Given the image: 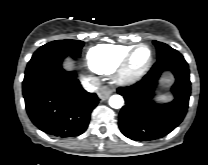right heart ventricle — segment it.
Listing matches in <instances>:
<instances>
[{"instance_id": "e07e8e85", "label": "right heart ventricle", "mask_w": 208, "mask_h": 165, "mask_svg": "<svg viewBox=\"0 0 208 165\" xmlns=\"http://www.w3.org/2000/svg\"><path fill=\"white\" fill-rule=\"evenodd\" d=\"M132 48L115 44L96 45L87 53V64L92 71L108 75L122 63Z\"/></svg>"}]
</instances>
